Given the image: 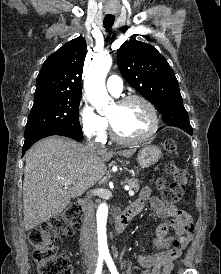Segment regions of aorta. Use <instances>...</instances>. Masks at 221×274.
<instances>
[{
    "label": "aorta",
    "mask_w": 221,
    "mask_h": 274,
    "mask_svg": "<svg viewBox=\"0 0 221 274\" xmlns=\"http://www.w3.org/2000/svg\"><path fill=\"white\" fill-rule=\"evenodd\" d=\"M111 66V57L97 58L93 61L85 76L84 88L86 96L99 112L111 101L105 87V78ZM107 216L108 206L106 203H102L97 210V235L100 254H107L109 252L106 234Z\"/></svg>",
    "instance_id": "obj_1"
}]
</instances>
